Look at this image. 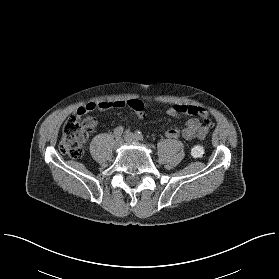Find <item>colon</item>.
Segmentation results:
<instances>
[{
	"instance_id": "5ec220e1",
	"label": "colon",
	"mask_w": 279,
	"mask_h": 279,
	"mask_svg": "<svg viewBox=\"0 0 279 279\" xmlns=\"http://www.w3.org/2000/svg\"><path fill=\"white\" fill-rule=\"evenodd\" d=\"M125 105L133 111H140L143 106L139 100L127 101ZM96 126L97 119L94 117H88L83 120L76 116L68 118L62 127L60 151L72 159H80L84 154V143ZM203 154V146L197 144L191 148L192 156L201 157Z\"/></svg>"
}]
</instances>
